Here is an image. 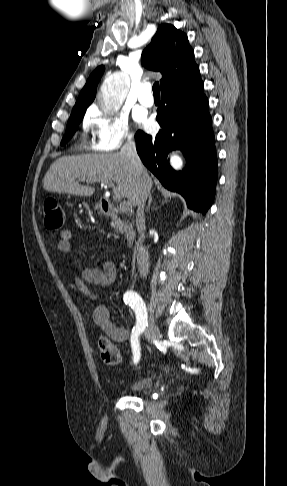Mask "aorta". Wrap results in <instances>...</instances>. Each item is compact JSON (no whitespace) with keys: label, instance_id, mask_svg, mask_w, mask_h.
Masks as SVG:
<instances>
[{"label":"aorta","instance_id":"1","mask_svg":"<svg viewBox=\"0 0 287 486\" xmlns=\"http://www.w3.org/2000/svg\"><path fill=\"white\" fill-rule=\"evenodd\" d=\"M129 90V80L124 74H115L109 77L103 84L101 91V109L104 113L111 114L119 110L127 92ZM180 164L176 163V167Z\"/></svg>","mask_w":287,"mask_h":486}]
</instances>
